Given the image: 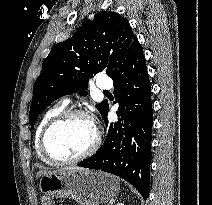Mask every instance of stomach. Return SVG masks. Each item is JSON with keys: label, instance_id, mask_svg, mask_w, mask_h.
<instances>
[{"label": "stomach", "instance_id": "1", "mask_svg": "<svg viewBox=\"0 0 212 205\" xmlns=\"http://www.w3.org/2000/svg\"><path fill=\"white\" fill-rule=\"evenodd\" d=\"M42 193L54 198H69L80 205H99L114 200L120 190L118 180L93 170H57L40 179Z\"/></svg>", "mask_w": 212, "mask_h": 205}]
</instances>
